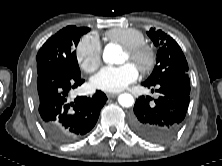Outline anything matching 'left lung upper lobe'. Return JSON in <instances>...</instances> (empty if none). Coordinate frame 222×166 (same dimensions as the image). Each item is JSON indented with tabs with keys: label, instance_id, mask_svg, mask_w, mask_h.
Masks as SVG:
<instances>
[{
	"label": "left lung upper lobe",
	"instance_id": "5c2ea615",
	"mask_svg": "<svg viewBox=\"0 0 222 166\" xmlns=\"http://www.w3.org/2000/svg\"><path fill=\"white\" fill-rule=\"evenodd\" d=\"M147 34L158 48V52L156 66L145 83L155 84L167 77L188 76V64L177 42L155 28H151Z\"/></svg>",
	"mask_w": 222,
	"mask_h": 166
}]
</instances>
